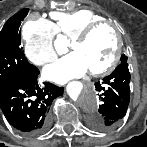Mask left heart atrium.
Listing matches in <instances>:
<instances>
[{
	"label": "left heart atrium",
	"mask_w": 147,
	"mask_h": 147,
	"mask_svg": "<svg viewBox=\"0 0 147 147\" xmlns=\"http://www.w3.org/2000/svg\"><path fill=\"white\" fill-rule=\"evenodd\" d=\"M88 71V67L77 52H72L55 61L44 69V76L56 83L64 84L71 79L80 78Z\"/></svg>",
	"instance_id": "obj_1"
}]
</instances>
